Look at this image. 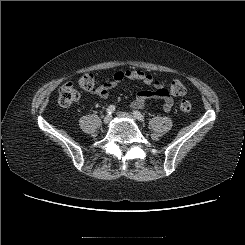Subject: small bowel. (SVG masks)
<instances>
[{"label":"small bowel","mask_w":245,"mask_h":245,"mask_svg":"<svg viewBox=\"0 0 245 245\" xmlns=\"http://www.w3.org/2000/svg\"><path fill=\"white\" fill-rule=\"evenodd\" d=\"M124 80L138 82L145 86H152L151 90H142L130 104L131 108H143L146 101L150 98L162 101L164 111L169 112L173 108L174 100L164 85L154 79V77L142 70H126L116 72L113 77L105 81L97 90V95L101 98H107L112 88Z\"/></svg>","instance_id":"c3829d8e"}]
</instances>
